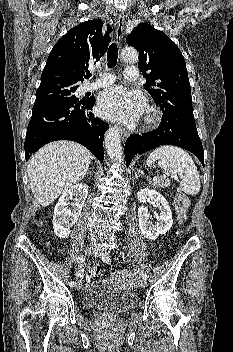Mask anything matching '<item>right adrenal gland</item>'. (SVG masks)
<instances>
[{
  "label": "right adrenal gland",
  "instance_id": "right-adrenal-gland-1",
  "mask_svg": "<svg viewBox=\"0 0 233 352\" xmlns=\"http://www.w3.org/2000/svg\"><path fill=\"white\" fill-rule=\"evenodd\" d=\"M87 174H91V171H88Z\"/></svg>",
  "mask_w": 233,
  "mask_h": 352
}]
</instances>
